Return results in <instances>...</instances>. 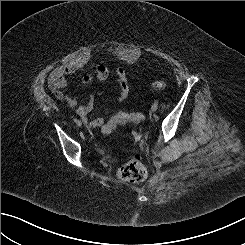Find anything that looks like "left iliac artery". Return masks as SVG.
<instances>
[{
    "instance_id": "obj_1",
    "label": "left iliac artery",
    "mask_w": 245,
    "mask_h": 245,
    "mask_svg": "<svg viewBox=\"0 0 245 245\" xmlns=\"http://www.w3.org/2000/svg\"><path fill=\"white\" fill-rule=\"evenodd\" d=\"M154 104L158 105V101H155Z\"/></svg>"
}]
</instances>
